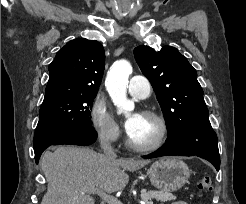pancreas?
Listing matches in <instances>:
<instances>
[{"mask_svg":"<svg viewBox=\"0 0 246 204\" xmlns=\"http://www.w3.org/2000/svg\"><path fill=\"white\" fill-rule=\"evenodd\" d=\"M141 199L149 201L151 199H156L157 201L165 202L175 200L176 196L169 191H141Z\"/></svg>","mask_w":246,"mask_h":204,"instance_id":"1","label":"pancreas"}]
</instances>
